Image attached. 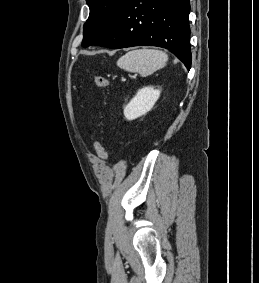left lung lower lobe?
Returning <instances> with one entry per match:
<instances>
[{
	"label": "left lung lower lobe",
	"mask_w": 259,
	"mask_h": 283,
	"mask_svg": "<svg viewBox=\"0 0 259 283\" xmlns=\"http://www.w3.org/2000/svg\"><path fill=\"white\" fill-rule=\"evenodd\" d=\"M189 13V0H127L111 29L94 45L163 47L190 69Z\"/></svg>",
	"instance_id": "obj_1"
}]
</instances>
